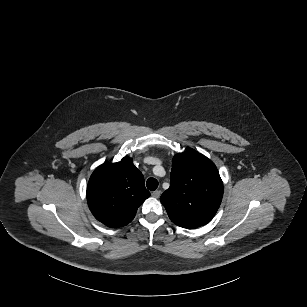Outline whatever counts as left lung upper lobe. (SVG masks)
I'll list each match as a JSON object with an SVG mask.
<instances>
[{"instance_id": "1", "label": "left lung upper lobe", "mask_w": 307, "mask_h": 307, "mask_svg": "<svg viewBox=\"0 0 307 307\" xmlns=\"http://www.w3.org/2000/svg\"><path fill=\"white\" fill-rule=\"evenodd\" d=\"M222 196L223 183L210 159L194 149L174 156L170 187L160 197L173 223L188 229L207 224Z\"/></svg>"}]
</instances>
